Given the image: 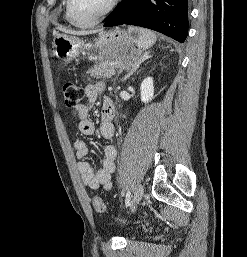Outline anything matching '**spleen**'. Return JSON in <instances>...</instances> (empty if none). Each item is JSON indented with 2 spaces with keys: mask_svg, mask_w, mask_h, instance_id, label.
Returning a JSON list of instances; mask_svg holds the SVG:
<instances>
[{
  "mask_svg": "<svg viewBox=\"0 0 247 257\" xmlns=\"http://www.w3.org/2000/svg\"><path fill=\"white\" fill-rule=\"evenodd\" d=\"M129 32H136L137 36L134 38V43L140 49H148L156 42V35L150 30L143 28L129 27Z\"/></svg>",
  "mask_w": 247,
  "mask_h": 257,
  "instance_id": "spleen-1",
  "label": "spleen"
}]
</instances>
